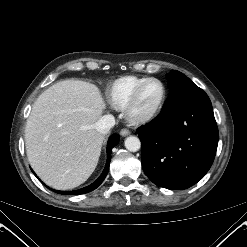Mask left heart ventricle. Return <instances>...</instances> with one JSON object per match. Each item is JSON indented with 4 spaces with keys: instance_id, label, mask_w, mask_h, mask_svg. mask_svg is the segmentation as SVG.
<instances>
[{
    "instance_id": "b2bd125f",
    "label": "left heart ventricle",
    "mask_w": 247,
    "mask_h": 247,
    "mask_svg": "<svg viewBox=\"0 0 247 247\" xmlns=\"http://www.w3.org/2000/svg\"><path fill=\"white\" fill-rule=\"evenodd\" d=\"M162 96V87L157 82L147 84L141 91L139 98L133 108L137 116L151 113L159 104Z\"/></svg>"
}]
</instances>
